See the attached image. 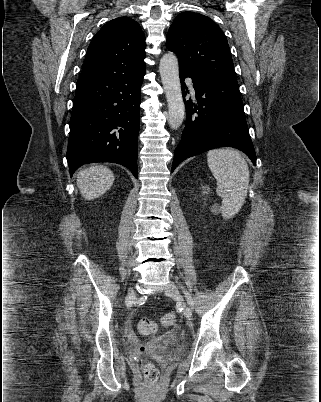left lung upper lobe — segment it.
<instances>
[{
	"label": "left lung upper lobe",
	"instance_id": "5c2ea615",
	"mask_svg": "<svg viewBox=\"0 0 321 402\" xmlns=\"http://www.w3.org/2000/svg\"><path fill=\"white\" fill-rule=\"evenodd\" d=\"M166 47L177 55L179 69L236 80L227 39L209 17L194 12L177 15L167 33Z\"/></svg>",
	"mask_w": 321,
	"mask_h": 402
}]
</instances>
